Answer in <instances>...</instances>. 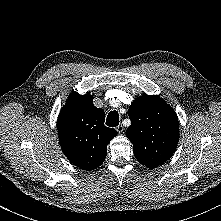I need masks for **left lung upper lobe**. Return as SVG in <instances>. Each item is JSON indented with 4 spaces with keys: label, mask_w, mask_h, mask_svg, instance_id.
Returning a JSON list of instances; mask_svg holds the SVG:
<instances>
[{
    "label": "left lung upper lobe",
    "mask_w": 221,
    "mask_h": 221,
    "mask_svg": "<svg viewBox=\"0 0 221 221\" xmlns=\"http://www.w3.org/2000/svg\"><path fill=\"white\" fill-rule=\"evenodd\" d=\"M128 115L126 136L136 159L148 168L165 163L179 141V121L172 107L156 95H145L131 103Z\"/></svg>",
    "instance_id": "5c2ea615"
}]
</instances>
